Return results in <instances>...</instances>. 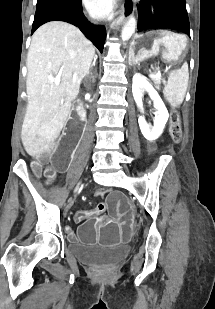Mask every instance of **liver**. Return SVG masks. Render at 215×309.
I'll list each match as a JSON object with an SVG mask.
<instances>
[{
	"label": "liver",
	"instance_id": "obj_1",
	"mask_svg": "<svg viewBox=\"0 0 215 309\" xmlns=\"http://www.w3.org/2000/svg\"><path fill=\"white\" fill-rule=\"evenodd\" d=\"M94 54V44L73 24L52 20L35 30L27 54L28 106L21 128L28 155L54 150ZM56 76L60 84L51 82Z\"/></svg>",
	"mask_w": 215,
	"mask_h": 309
}]
</instances>
